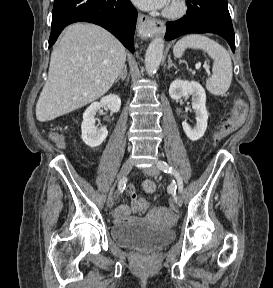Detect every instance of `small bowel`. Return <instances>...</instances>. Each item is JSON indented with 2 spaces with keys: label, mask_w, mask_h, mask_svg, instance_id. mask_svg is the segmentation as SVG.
<instances>
[{
  "label": "small bowel",
  "mask_w": 273,
  "mask_h": 288,
  "mask_svg": "<svg viewBox=\"0 0 273 288\" xmlns=\"http://www.w3.org/2000/svg\"><path fill=\"white\" fill-rule=\"evenodd\" d=\"M144 189L147 192H153L155 190V185L151 181H146L144 183ZM127 193L131 199L132 206L130 207L128 205H120L115 208L113 216L115 221L117 222L134 220V218L132 217V213L138 212L135 207V203L137 200L135 189L133 187H128Z\"/></svg>",
  "instance_id": "obj_1"
}]
</instances>
